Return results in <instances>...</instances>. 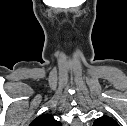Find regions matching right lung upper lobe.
<instances>
[{
    "mask_svg": "<svg viewBox=\"0 0 127 126\" xmlns=\"http://www.w3.org/2000/svg\"><path fill=\"white\" fill-rule=\"evenodd\" d=\"M29 126H61L51 114H42L36 117Z\"/></svg>",
    "mask_w": 127,
    "mask_h": 126,
    "instance_id": "right-lung-upper-lobe-1",
    "label": "right lung upper lobe"
}]
</instances>
